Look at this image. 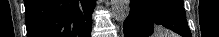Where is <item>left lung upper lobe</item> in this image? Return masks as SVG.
Segmentation results:
<instances>
[{"mask_svg": "<svg viewBox=\"0 0 219 37\" xmlns=\"http://www.w3.org/2000/svg\"><path fill=\"white\" fill-rule=\"evenodd\" d=\"M176 1H178V2H180V3H182V4H183V0H176Z\"/></svg>", "mask_w": 219, "mask_h": 37, "instance_id": "left-lung-upper-lobe-1", "label": "left lung upper lobe"}]
</instances>
